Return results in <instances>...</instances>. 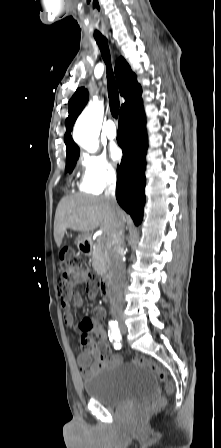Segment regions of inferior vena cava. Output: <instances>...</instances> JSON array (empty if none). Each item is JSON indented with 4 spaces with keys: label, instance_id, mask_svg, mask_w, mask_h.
<instances>
[{
    "label": "inferior vena cava",
    "instance_id": "inferior-vena-cava-1",
    "mask_svg": "<svg viewBox=\"0 0 221 448\" xmlns=\"http://www.w3.org/2000/svg\"><path fill=\"white\" fill-rule=\"evenodd\" d=\"M116 178L112 175L107 181L105 198L115 209L118 207L115 198ZM124 254V222L119 221L112 233L109 247L110 271L112 275L111 308L114 315L122 313L123 302L121 291L125 282V267L122 260Z\"/></svg>",
    "mask_w": 221,
    "mask_h": 448
}]
</instances>
